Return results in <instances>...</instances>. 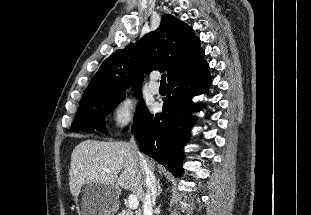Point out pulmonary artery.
Wrapping results in <instances>:
<instances>
[{"instance_id": "1", "label": "pulmonary artery", "mask_w": 311, "mask_h": 215, "mask_svg": "<svg viewBox=\"0 0 311 215\" xmlns=\"http://www.w3.org/2000/svg\"><path fill=\"white\" fill-rule=\"evenodd\" d=\"M158 77L156 75L152 76L151 81L149 83V90L153 94H157L159 92V85L156 82Z\"/></svg>"}]
</instances>
